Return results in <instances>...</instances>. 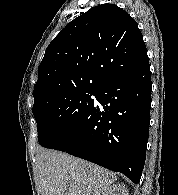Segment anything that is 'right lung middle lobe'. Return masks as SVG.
<instances>
[{"mask_svg": "<svg viewBox=\"0 0 178 195\" xmlns=\"http://www.w3.org/2000/svg\"><path fill=\"white\" fill-rule=\"evenodd\" d=\"M95 90H80L57 96L33 108L37 122L38 142L46 148H55L91 109Z\"/></svg>", "mask_w": 178, "mask_h": 195, "instance_id": "1", "label": "right lung middle lobe"}]
</instances>
